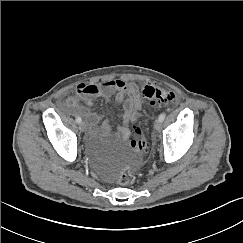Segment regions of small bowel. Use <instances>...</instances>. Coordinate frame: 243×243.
<instances>
[{
  "label": "small bowel",
  "instance_id": "1",
  "mask_svg": "<svg viewBox=\"0 0 243 243\" xmlns=\"http://www.w3.org/2000/svg\"><path fill=\"white\" fill-rule=\"evenodd\" d=\"M101 97L105 100L114 98L115 105H121L122 111L119 119L122 124L117 127V132L121 138L129 137L127 123L135 121L141 113V101L138 86L123 79H108L100 84L80 83L75 88V93L67 96L61 103L62 107L73 110L83 115L90 126L94 129L100 117L98 114L89 111L81 105L83 102L87 106H92L94 100ZM105 129L110 128V124L104 125Z\"/></svg>",
  "mask_w": 243,
  "mask_h": 243
}]
</instances>
